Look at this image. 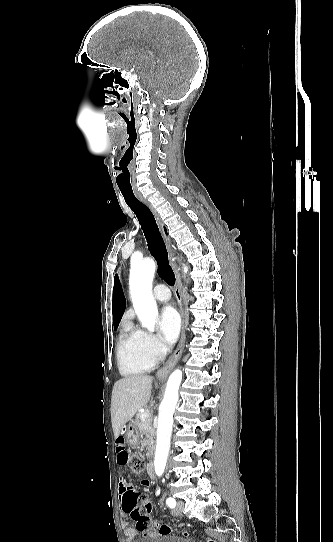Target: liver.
<instances>
[{"label":"liver","mask_w":333,"mask_h":542,"mask_svg":"<svg viewBox=\"0 0 333 542\" xmlns=\"http://www.w3.org/2000/svg\"><path fill=\"white\" fill-rule=\"evenodd\" d=\"M153 378L144 374L124 376L114 384L111 402V422L115 440L119 438L125 424L132 420L140 408L151 398Z\"/></svg>","instance_id":"1"}]
</instances>
